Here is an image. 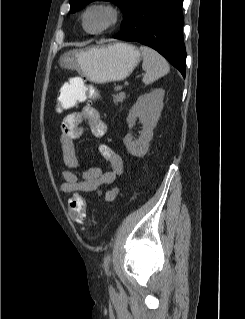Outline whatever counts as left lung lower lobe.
Segmentation results:
<instances>
[{
  "mask_svg": "<svg viewBox=\"0 0 245 319\" xmlns=\"http://www.w3.org/2000/svg\"><path fill=\"white\" fill-rule=\"evenodd\" d=\"M182 3L183 0H139L114 38L152 47L185 76Z\"/></svg>",
  "mask_w": 245,
  "mask_h": 319,
  "instance_id": "obj_1",
  "label": "left lung lower lobe"
}]
</instances>
